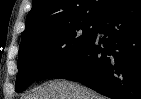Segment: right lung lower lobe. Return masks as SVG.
Listing matches in <instances>:
<instances>
[{
	"instance_id": "1",
	"label": "right lung lower lobe",
	"mask_w": 141,
	"mask_h": 99,
	"mask_svg": "<svg viewBox=\"0 0 141 99\" xmlns=\"http://www.w3.org/2000/svg\"><path fill=\"white\" fill-rule=\"evenodd\" d=\"M51 77L80 82L112 99H141V0H118L96 21L92 40Z\"/></svg>"
}]
</instances>
